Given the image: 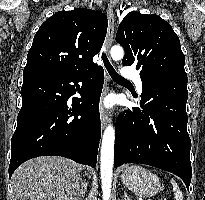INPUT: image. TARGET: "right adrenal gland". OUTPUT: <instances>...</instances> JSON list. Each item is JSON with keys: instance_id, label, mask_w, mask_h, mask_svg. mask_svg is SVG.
<instances>
[{"instance_id": "1", "label": "right adrenal gland", "mask_w": 205, "mask_h": 200, "mask_svg": "<svg viewBox=\"0 0 205 200\" xmlns=\"http://www.w3.org/2000/svg\"><path fill=\"white\" fill-rule=\"evenodd\" d=\"M86 191H87V184L82 182V188H81V191H80V194H79L77 200H82V198H84V196H85Z\"/></svg>"}]
</instances>
